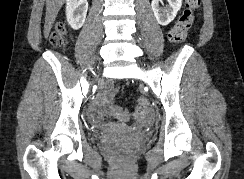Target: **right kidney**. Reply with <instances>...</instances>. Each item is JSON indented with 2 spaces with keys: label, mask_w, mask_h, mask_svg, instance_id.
<instances>
[{
  "label": "right kidney",
  "mask_w": 244,
  "mask_h": 179,
  "mask_svg": "<svg viewBox=\"0 0 244 179\" xmlns=\"http://www.w3.org/2000/svg\"><path fill=\"white\" fill-rule=\"evenodd\" d=\"M88 2L87 0H67L66 18L73 30L82 28L87 16Z\"/></svg>",
  "instance_id": "1"
}]
</instances>
